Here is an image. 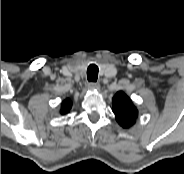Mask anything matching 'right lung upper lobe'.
<instances>
[{
	"mask_svg": "<svg viewBox=\"0 0 184 174\" xmlns=\"http://www.w3.org/2000/svg\"><path fill=\"white\" fill-rule=\"evenodd\" d=\"M72 107V101L70 98H66L61 103V110L60 112L64 115L70 111Z\"/></svg>",
	"mask_w": 184,
	"mask_h": 174,
	"instance_id": "cb5924a9",
	"label": "right lung upper lobe"
}]
</instances>
